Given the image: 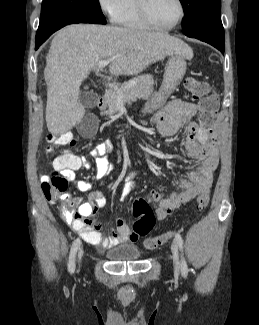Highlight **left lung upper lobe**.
I'll return each mask as SVG.
<instances>
[{
	"mask_svg": "<svg viewBox=\"0 0 259 325\" xmlns=\"http://www.w3.org/2000/svg\"><path fill=\"white\" fill-rule=\"evenodd\" d=\"M185 13L182 28L189 34L213 21H221L220 0H180Z\"/></svg>",
	"mask_w": 259,
	"mask_h": 325,
	"instance_id": "1",
	"label": "left lung upper lobe"
}]
</instances>
